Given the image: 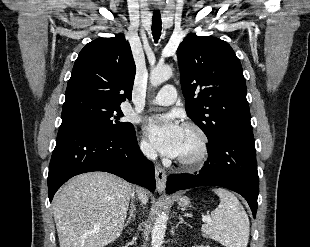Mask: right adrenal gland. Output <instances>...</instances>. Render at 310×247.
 Segmentation results:
<instances>
[{
  "label": "right adrenal gland",
  "instance_id": "obj_1",
  "mask_svg": "<svg viewBox=\"0 0 310 247\" xmlns=\"http://www.w3.org/2000/svg\"><path fill=\"white\" fill-rule=\"evenodd\" d=\"M134 211H135V209H134L133 207H131L129 217H128V219L126 220V223H125L124 227H127V226L130 224L131 220H132V219H135V213H134Z\"/></svg>",
  "mask_w": 310,
  "mask_h": 247
}]
</instances>
